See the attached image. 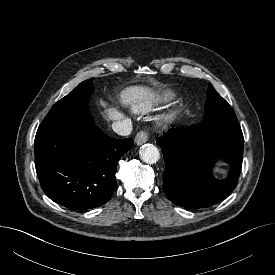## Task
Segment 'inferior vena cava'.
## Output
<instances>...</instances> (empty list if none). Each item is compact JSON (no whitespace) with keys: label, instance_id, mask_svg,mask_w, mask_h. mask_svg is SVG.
<instances>
[{"label":"inferior vena cava","instance_id":"inferior-vena-cava-1","mask_svg":"<svg viewBox=\"0 0 275 275\" xmlns=\"http://www.w3.org/2000/svg\"><path fill=\"white\" fill-rule=\"evenodd\" d=\"M112 129L115 133L122 136L130 135L132 132V121L129 118H123L113 122Z\"/></svg>","mask_w":275,"mask_h":275}]
</instances>
